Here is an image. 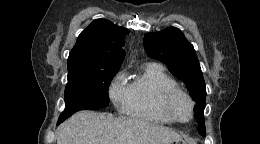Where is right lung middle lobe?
Listing matches in <instances>:
<instances>
[{"label": "right lung middle lobe", "instance_id": "obj_1", "mask_svg": "<svg viewBox=\"0 0 260 144\" xmlns=\"http://www.w3.org/2000/svg\"><path fill=\"white\" fill-rule=\"evenodd\" d=\"M119 69L68 74L65 88V110L58 123H62L80 110H96L109 104L108 88Z\"/></svg>", "mask_w": 260, "mask_h": 144}]
</instances>
